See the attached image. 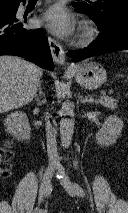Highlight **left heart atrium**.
<instances>
[{
    "mask_svg": "<svg viewBox=\"0 0 128 213\" xmlns=\"http://www.w3.org/2000/svg\"><path fill=\"white\" fill-rule=\"evenodd\" d=\"M37 25L62 36H70L75 29V22L70 13L62 5H54L37 19Z\"/></svg>",
    "mask_w": 128,
    "mask_h": 213,
    "instance_id": "1",
    "label": "left heart atrium"
}]
</instances>
